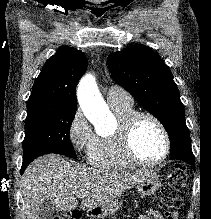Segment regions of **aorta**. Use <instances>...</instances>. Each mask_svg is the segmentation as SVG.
<instances>
[{
    "label": "aorta",
    "instance_id": "obj_1",
    "mask_svg": "<svg viewBox=\"0 0 211 219\" xmlns=\"http://www.w3.org/2000/svg\"><path fill=\"white\" fill-rule=\"evenodd\" d=\"M78 101L85 116L94 124L106 121L110 111L101 97L93 76L86 75L78 87Z\"/></svg>",
    "mask_w": 211,
    "mask_h": 219
}]
</instances>
